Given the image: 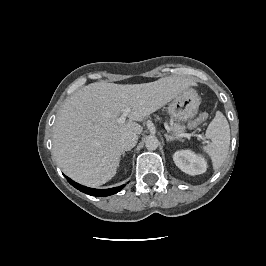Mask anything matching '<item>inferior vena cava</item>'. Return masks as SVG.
<instances>
[{"label":"inferior vena cava","instance_id":"1","mask_svg":"<svg viewBox=\"0 0 266 266\" xmlns=\"http://www.w3.org/2000/svg\"><path fill=\"white\" fill-rule=\"evenodd\" d=\"M138 141V135L135 133H125L121 138V147L123 150L133 148Z\"/></svg>","mask_w":266,"mask_h":266}]
</instances>
